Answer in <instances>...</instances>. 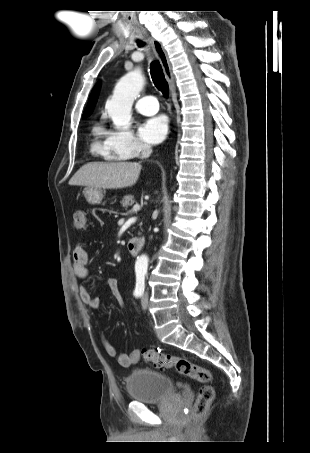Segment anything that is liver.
Wrapping results in <instances>:
<instances>
[{"mask_svg":"<svg viewBox=\"0 0 310 453\" xmlns=\"http://www.w3.org/2000/svg\"><path fill=\"white\" fill-rule=\"evenodd\" d=\"M137 162H90L83 165L69 180L71 186L121 189L133 186L140 175Z\"/></svg>","mask_w":310,"mask_h":453,"instance_id":"obj_1","label":"liver"}]
</instances>
